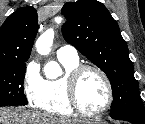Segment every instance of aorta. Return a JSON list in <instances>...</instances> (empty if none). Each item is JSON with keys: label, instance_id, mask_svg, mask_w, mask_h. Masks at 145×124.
Returning <instances> with one entry per match:
<instances>
[{"label": "aorta", "instance_id": "1", "mask_svg": "<svg viewBox=\"0 0 145 124\" xmlns=\"http://www.w3.org/2000/svg\"><path fill=\"white\" fill-rule=\"evenodd\" d=\"M54 40L53 29H48L42 33L36 41V50L40 55L47 56L51 51ZM45 76L48 79H56L62 75V70L57 62H49L44 68Z\"/></svg>", "mask_w": 145, "mask_h": 124}]
</instances>
